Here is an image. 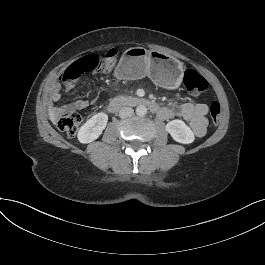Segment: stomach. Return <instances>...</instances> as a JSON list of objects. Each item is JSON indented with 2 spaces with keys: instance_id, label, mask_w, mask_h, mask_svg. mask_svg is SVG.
I'll return each instance as SVG.
<instances>
[{
  "instance_id": "0dacf381",
  "label": "stomach",
  "mask_w": 265,
  "mask_h": 265,
  "mask_svg": "<svg viewBox=\"0 0 265 265\" xmlns=\"http://www.w3.org/2000/svg\"><path fill=\"white\" fill-rule=\"evenodd\" d=\"M116 74L129 80L148 76L162 87L176 89L182 81L183 65L169 54L133 47L123 53Z\"/></svg>"
}]
</instances>
